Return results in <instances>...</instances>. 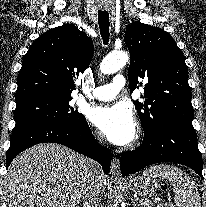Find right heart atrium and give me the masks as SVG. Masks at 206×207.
<instances>
[{"label": "right heart atrium", "mask_w": 206, "mask_h": 207, "mask_svg": "<svg viewBox=\"0 0 206 207\" xmlns=\"http://www.w3.org/2000/svg\"><path fill=\"white\" fill-rule=\"evenodd\" d=\"M94 137L98 142H102V136L98 132H94Z\"/></svg>", "instance_id": "right-heart-atrium-1"}]
</instances>
